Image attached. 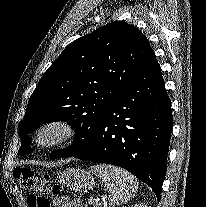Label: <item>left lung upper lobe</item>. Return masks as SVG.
Segmentation results:
<instances>
[{"instance_id": "5c2ea615", "label": "left lung upper lobe", "mask_w": 206, "mask_h": 207, "mask_svg": "<svg viewBox=\"0 0 206 207\" xmlns=\"http://www.w3.org/2000/svg\"><path fill=\"white\" fill-rule=\"evenodd\" d=\"M154 52L135 26L117 21L70 43L32 93L19 125L20 155L28 154L29 131L46 122L66 121L76 135L71 146L52 157L70 156L94 139L104 112L146 65Z\"/></svg>"}]
</instances>
